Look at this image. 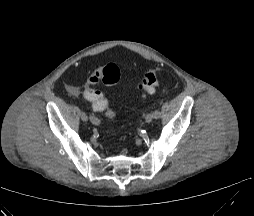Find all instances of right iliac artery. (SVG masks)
Here are the masks:
<instances>
[{
  "label": "right iliac artery",
  "instance_id": "82829eb1",
  "mask_svg": "<svg viewBox=\"0 0 254 216\" xmlns=\"http://www.w3.org/2000/svg\"><path fill=\"white\" fill-rule=\"evenodd\" d=\"M90 121L94 124V125H99L100 124V120L95 117L94 115H89Z\"/></svg>",
  "mask_w": 254,
  "mask_h": 216
}]
</instances>
